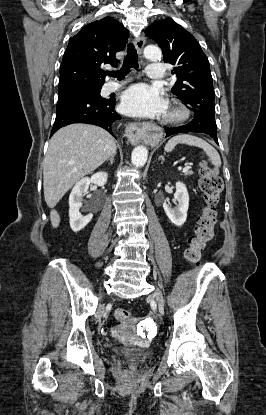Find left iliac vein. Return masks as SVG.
Here are the masks:
<instances>
[{
    "instance_id": "obj_1",
    "label": "left iliac vein",
    "mask_w": 266,
    "mask_h": 415,
    "mask_svg": "<svg viewBox=\"0 0 266 415\" xmlns=\"http://www.w3.org/2000/svg\"><path fill=\"white\" fill-rule=\"evenodd\" d=\"M154 297L156 298L159 307L162 308L164 306V298H163L162 292L159 289L155 290Z\"/></svg>"
}]
</instances>
